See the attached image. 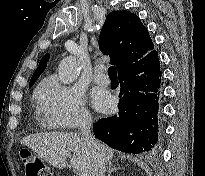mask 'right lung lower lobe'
Wrapping results in <instances>:
<instances>
[{"label": "right lung lower lobe", "instance_id": "right-lung-lower-lobe-1", "mask_svg": "<svg viewBox=\"0 0 205 176\" xmlns=\"http://www.w3.org/2000/svg\"><path fill=\"white\" fill-rule=\"evenodd\" d=\"M119 113L93 125L94 135L110 147L127 153L157 148L158 100L161 71L158 54L151 52L118 74Z\"/></svg>", "mask_w": 205, "mask_h": 176}]
</instances>
